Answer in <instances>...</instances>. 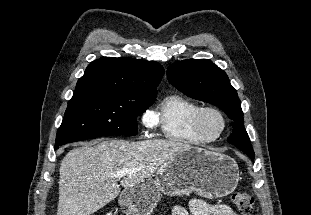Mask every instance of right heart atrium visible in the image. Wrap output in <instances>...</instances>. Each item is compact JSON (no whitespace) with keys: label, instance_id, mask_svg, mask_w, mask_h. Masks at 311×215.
<instances>
[{"label":"right heart atrium","instance_id":"d8ad5b80","mask_svg":"<svg viewBox=\"0 0 311 215\" xmlns=\"http://www.w3.org/2000/svg\"><path fill=\"white\" fill-rule=\"evenodd\" d=\"M142 123L146 128H153L156 125V119L152 112L146 111L142 115Z\"/></svg>","mask_w":311,"mask_h":215}]
</instances>
